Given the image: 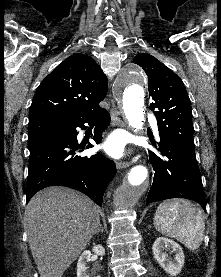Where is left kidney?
<instances>
[{
  "label": "left kidney",
  "instance_id": "1",
  "mask_svg": "<svg viewBox=\"0 0 221 277\" xmlns=\"http://www.w3.org/2000/svg\"><path fill=\"white\" fill-rule=\"evenodd\" d=\"M169 249L175 252L174 258H168L165 251ZM152 251L155 260L168 274L176 276L181 272L185 257L178 243L166 237H158L153 243Z\"/></svg>",
  "mask_w": 221,
  "mask_h": 277
}]
</instances>
